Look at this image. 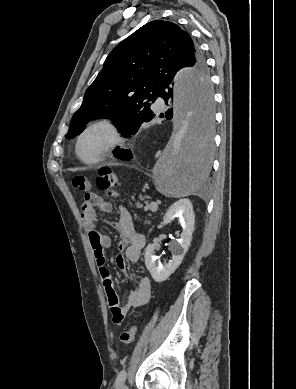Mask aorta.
<instances>
[{
  "label": "aorta",
  "instance_id": "1",
  "mask_svg": "<svg viewBox=\"0 0 296 389\" xmlns=\"http://www.w3.org/2000/svg\"><path fill=\"white\" fill-rule=\"evenodd\" d=\"M175 130L155 166L159 186L185 196L206 183L214 148L213 83L209 72L182 70L173 81Z\"/></svg>",
  "mask_w": 296,
  "mask_h": 389
}]
</instances>
